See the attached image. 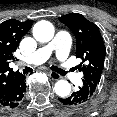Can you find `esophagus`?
Listing matches in <instances>:
<instances>
[{"mask_svg": "<svg viewBox=\"0 0 117 117\" xmlns=\"http://www.w3.org/2000/svg\"><path fill=\"white\" fill-rule=\"evenodd\" d=\"M49 76H50V78L52 80H58V79H60V75L58 73H56V72H53V71L49 72Z\"/></svg>", "mask_w": 117, "mask_h": 117, "instance_id": "obj_1", "label": "esophagus"}]
</instances>
